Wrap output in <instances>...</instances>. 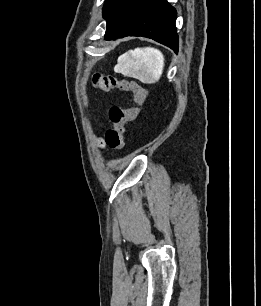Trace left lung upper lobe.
<instances>
[{
    "label": "left lung upper lobe",
    "instance_id": "left-lung-upper-lobe-1",
    "mask_svg": "<svg viewBox=\"0 0 261 306\" xmlns=\"http://www.w3.org/2000/svg\"><path fill=\"white\" fill-rule=\"evenodd\" d=\"M132 0H106L103 7V16L107 21L106 33H109L116 26L125 8Z\"/></svg>",
    "mask_w": 261,
    "mask_h": 306
}]
</instances>
